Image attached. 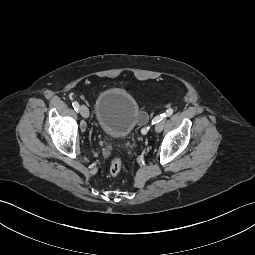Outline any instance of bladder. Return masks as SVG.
Segmentation results:
<instances>
[{
  "mask_svg": "<svg viewBox=\"0 0 255 255\" xmlns=\"http://www.w3.org/2000/svg\"><path fill=\"white\" fill-rule=\"evenodd\" d=\"M95 119L100 130L109 137L123 138L141 123L136 98L122 88H107L97 97Z\"/></svg>",
  "mask_w": 255,
  "mask_h": 255,
  "instance_id": "bladder-1",
  "label": "bladder"
}]
</instances>
